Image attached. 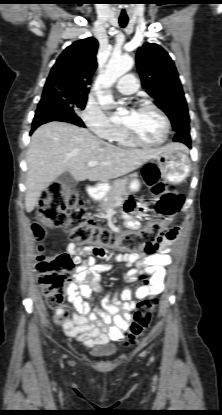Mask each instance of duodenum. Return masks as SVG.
Returning <instances> with one entry per match:
<instances>
[{"instance_id": "duodenum-1", "label": "duodenum", "mask_w": 222, "mask_h": 415, "mask_svg": "<svg viewBox=\"0 0 222 415\" xmlns=\"http://www.w3.org/2000/svg\"><path fill=\"white\" fill-rule=\"evenodd\" d=\"M96 189L92 186H89L87 188V194L89 197H93L95 195Z\"/></svg>"}]
</instances>
